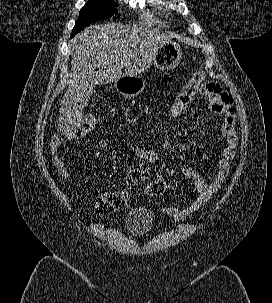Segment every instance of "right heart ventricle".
<instances>
[{"instance_id": "1", "label": "right heart ventricle", "mask_w": 272, "mask_h": 303, "mask_svg": "<svg viewBox=\"0 0 272 303\" xmlns=\"http://www.w3.org/2000/svg\"><path fill=\"white\" fill-rule=\"evenodd\" d=\"M143 20L148 24H156L158 20L150 13H145L143 15Z\"/></svg>"}]
</instances>
